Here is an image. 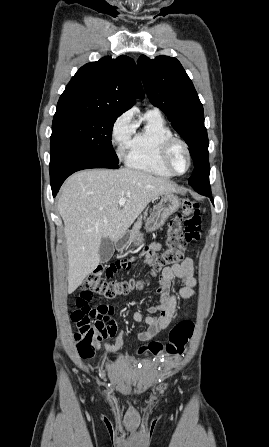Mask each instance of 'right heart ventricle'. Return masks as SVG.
I'll use <instances>...</instances> for the list:
<instances>
[{
  "mask_svg": "<svg viewBox=\"0 0 269 447\" xmlns=\"http://www.w3.org/2000/svg\"><path fill=\"white\" fill-rule=\"evenodd\" d=\"M173 136V131L161 114L147 110L142 117L140 128L134 130L126 164L154 175L172 177L173 174L162 162L161 154L164 142Z\"/></svg>",
  "mask_w": 269,
  "mask_h": 447,
  "instance_id": "e07e8e85",
  "label": "right heart ventricle"
}]
</instances>
